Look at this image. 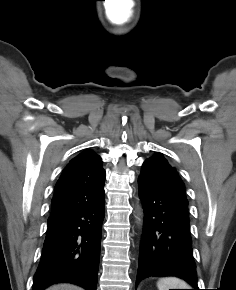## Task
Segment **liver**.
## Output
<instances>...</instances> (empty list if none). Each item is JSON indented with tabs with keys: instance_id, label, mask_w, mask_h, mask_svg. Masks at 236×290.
<instances>
[{
	"instance_id": "1",
	"label": "liver",
	"mask_w": 236,
	"mask_h": 290,
	"mask_svg": "<svg viewBox=\"0 0 236 290\" xmlns=\"http://www.w3.org/2000/svg\"><path fill=\"white\" fill-rule=\"evenodd\" d=\"M46 290H84V289L77 287L75 285H72V284H58V285H53Z\"/></svg>"
}]
</instances>
